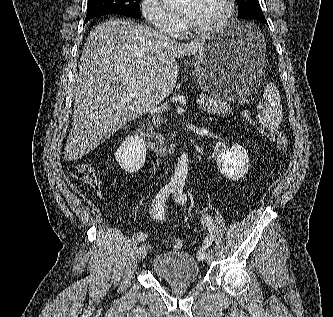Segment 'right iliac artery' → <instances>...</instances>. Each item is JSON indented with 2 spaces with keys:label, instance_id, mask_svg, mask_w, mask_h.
I'll return each mask as SVG.
<instances>
[{
  "label": "right iliac artery",
  "instance_id": "1",
  "mask_svg": "<svg viewBox=\"0 0 333 317\" xmlns=\"http://www.w3.org/2000/svg\"><path fill=\"white\" fill-rule=\"evenodd\" d=\"M175 189V185L169 183L165 187H163L156 195V197L153 200L152 203V211L154 214V217L158 220H163L165 215V200L167 196L173 192ZM147 235L144 233H141L137 236L138 241H144L146 240Z\"/></svg>",
  "mask_w": 333,
  "mask_h": 317
}]
</instances>
